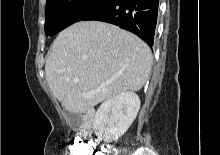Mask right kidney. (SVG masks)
<instances>
[{
  "label": "right kidney",
  "instance_id": "ca27d5eb",
  "mask_svg": "<svg viewBox=\"0 0 220 155\" xmlns=\"http://www.w3.org/2000/svg\"><path fill=\"white\" fill-rule=\"evenodd\" d=\"M140 99L134 92H122L103 102L98 108L93 130L98 138L111 142L121 137L135 120Z\"/></svg>",
  "mask_w": 220,
  "mask_h": 155
}]
</instances>
